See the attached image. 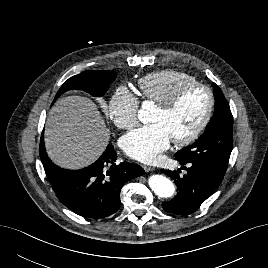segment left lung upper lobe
I'll return each instance as SVG.
<instances>
[{"label":"left lung upper lobe","instance_id":"obj_1","mask_svg":"<svg viewBox=\"0 0 268 268\" xmlns=\"http://www.w3.org/2000/svg\"><path fill=\"white\" fill-rule=\"evenodd\" d=\"M213 92L215 109L205 132L191 146L177 152L175 158L183 164H207L225 173L233 146V117L227 100L215 83Z\"/></svg>","mask_w":268,"mask_h":268}]
</instances>
